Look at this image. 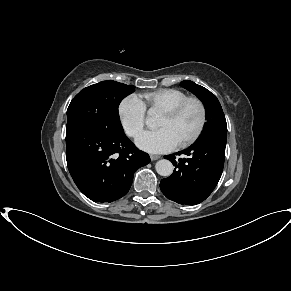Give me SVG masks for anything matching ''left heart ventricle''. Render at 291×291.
Wrapping results in <instances>:
<instances>
[{
    "mask_svg": "<svg viewBox=\"0 0 291 291\" xmlns=\"http://www.w3.org/2000/svg\"><path fill=\"white\" fill-rule=\"evenodd\" d=\"M201 118L200 108L196 103H190L176 118L171 119L161 115L157 127L167 129L181 143L197 130Z\"/></svg>",
    "mask_w": 291,
    "mask_h": 291,
    "instance_id": "b2bd125f",
    "label": "left heart ventricle"
}]
</instances>
